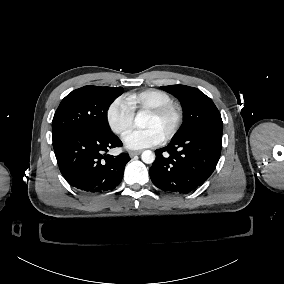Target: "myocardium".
Listing matches in <instances>:
<instances>
[{"instance_id":"obj_1","label":"myocardium","mask_w":284,"mask_h":284,"mask_svg":"<svg viewBox=\"0 0 284 284\" xmlns=\"http://www.w3.org/2000/svg\"><path fill=\"white\" fill-rule=\"evenodd\" d=\"M148 113L156 118L165 116H169L171 118L170 128L166 135L163 137L162 141L168 142L169 140H171L179 130L182 122V113L180 108L176 104L170 103L148 110Z\"/></svg>"}]
</instances>
